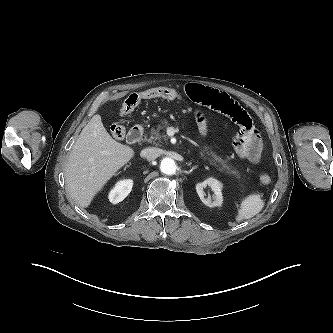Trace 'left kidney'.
Segmentation results:
<instances>
[{
	"instance_id": "1",
	"label": "left kidney",
	"mask_w": 333,
	"mask_h": 333,
	"mask_svg": "<svg viewBox=\"0 0 333 333\" xmlns=\"http://www.w3.org/2000/svg\"><path fill=\"white\" fill-rule=\"evenodd\" d=\"M206 186H209L214 192L212 198L211 196L205 198L204 188ZM221 189H222V183L212 177L207 178L203 182L197 183L196 185V191L198 193V196L200 197L201 201L208 207H216L222 205L223 196Z\"/></svg>"
}]
</instances>
